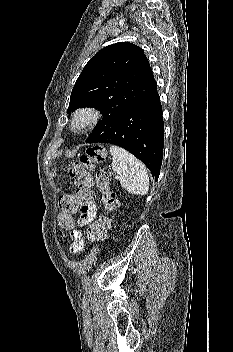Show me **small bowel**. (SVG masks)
Returning a JSON list of instances; mask_svg holds the SVG:
<instances>
[{"label":"small bowel","instance_id":"small-bowel-1","mask_svg":"<svg viewBox=\"0 0 233 352\" xmlns=\"http://www.w3.org/2000/svg\"><path fill=\"white\" fill-rule=\"evenodd\" d=\"M96 214H97V208H96V204L93 201L89 203L86 207H81L79 225L85 226L91 223L96 218ZM70 236L72 239L70 252L73 254H76L83 249V246H84L83 236L79 230L71 231Z\"/></svg>","mask_w":233,"mask_h":352}]
</instances>
